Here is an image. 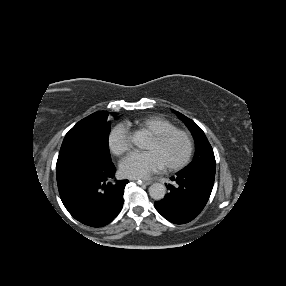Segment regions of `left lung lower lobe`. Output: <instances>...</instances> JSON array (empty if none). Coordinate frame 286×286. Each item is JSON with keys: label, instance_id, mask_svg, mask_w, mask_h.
<instances>
[{"label": "left lung lower lobe", "instance_id": "obj_1", "mask_svg": "<svg viewBox=\"0 0 286 286\" xmlns=\"http://www.w3.org/2000/svg\"><path fill=\"white\" fill-rule=\"evenodd\" d=\"M215 179V169L180 170L171 177L173 185L164 199L155 202L156 210L168 221L184 224L192 221L205 207ZM167 186V185H166Z\"/></svg>", "mask_w": 286, "mask_h": 286}]
</instances>
